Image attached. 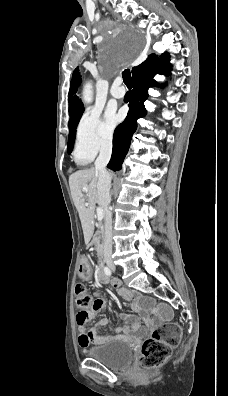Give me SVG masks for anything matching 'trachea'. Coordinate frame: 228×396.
I'll use <instances>...</instances> for the list:
<instances>
[{
  "label": "trachea",
  "mask_w": 228,
  "mask_h": 396,
  "mask_svg": "<svg viewBox=\"0 0 228 396\" xmlns=\"http://www.w3.org/2000/svg\"><path fill=\"white\" fill-rule=\"evenodd\" d=\"M122 78H123V82L128 85V84H132V79H131V73L129 69H125L122 72Z\"/></svg>",
  "instance_id": "1"
}]
</instances>
